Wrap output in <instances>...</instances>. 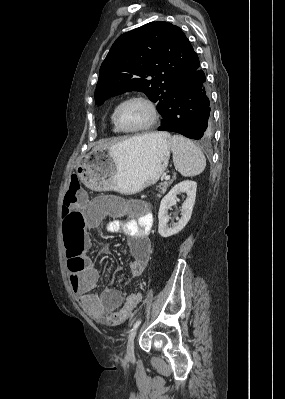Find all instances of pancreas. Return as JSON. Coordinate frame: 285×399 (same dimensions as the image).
Returning <instances> with one entry per match:
<instances>
[{
	"mask_svg": "<svg viewBox=\"0 0 285 399\" xmlns=\"http://www.w3.org/2000/svg\"><path fill=\"white\" fill-rule=\"evenodd\" d=\"M173 181H166L164 183L159 184L158 190L161 194H164L167 188L172 184Z\"/></svg>",
	"mask_w": 285,
	"mask_h": 399,
	"instance_id": "cf45deb5",
	"label": "pancreas"
}]
</instances>
